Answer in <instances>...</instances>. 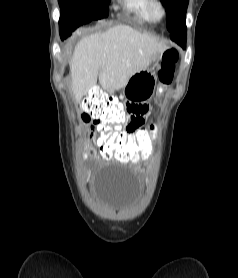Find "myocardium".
Listing matches in <instances>:
<instances>
[{
  "mask_svg": "<svg viewBox=\"0 0 238 278\" xmlns=\"http://www.w3.org/2000/svg\"><path fill=\"white\" fill-rule=\"evenodd\" d=\"M155 7L161 11L159 16L154 12ZM147 12L152 21L159 22L166 16V7L161 0H147Z\"/></svg>",
  "mask_w": 238,
  "mask_h": 278,
  "instance_id": "myocardium-1",
  "label": "myocardium"
}]
</instances>
